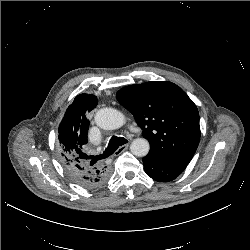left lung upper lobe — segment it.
<instances>
[{
	"label": "left lung upper lobe",
	"instance_id": "obj_1",
	"mask_svg": "<svg viewBox=\"0 0 250 250\" xmlns=\"http://www.w3.org/2000/svg\"><path fill=\"white\" fill-rule=\"evenodd\" d=\"M150 143L148 154L168 162L188 164L200 141L196 105L176 84L168 81L129 85L117 92Z\"/></svg>",
	"mask_w": 250,
	"mask_h": 250
}]
</instances>
